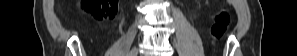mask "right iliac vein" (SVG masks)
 I'll return each mask as SVG.
<instances>
[{
  "label": "right iliac vein",
  "instance_id": "right-iliac-vein-1",
  "mask_svg": "<svg viewBox=\"0 0 297 56\" xmlns=\"http://www.w3.org/2000/svg\"><path fill=\"white\" fill-rule=\"evenodd\" d=\"M137 54H138V49H137V47H134V48L130 51L129 56H137Z\"/></svg>",
  "mask_w": 297,
  "mask_h": 56
}]
</instances>
